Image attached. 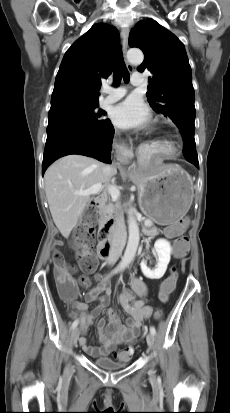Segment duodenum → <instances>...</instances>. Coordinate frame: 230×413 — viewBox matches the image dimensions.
<instances>
[{"label":"duodenum","instance_id":"1","mask_svg":"<svg viewBox=\"0 0 230 413\" xmlns=\"http://www.w3.org/2000/svg\"><path fill=\"white\" fill-rule=\"evenodd\" d=\"M106 200V194L103 193L95 199L94 204L101 207ZM116 232V224L112 220L105 222L101 231L100 242L97 246V253L101 259H108L114 253L113 237Z\"/></svg>","mask_w":230,"mask_h":413}]
</instances>
